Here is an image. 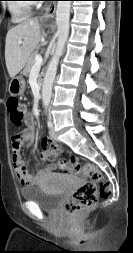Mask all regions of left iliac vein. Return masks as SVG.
I'll return each mask as SVG.
<instances>
[{
	"label": "left iliac vein",
	"mask_w": 133,
	"mask_h": 253,
	"mask_svg": "<svg viewBox=\"0 0 133 253\" xmlns=\"http://www.w3.org/2000/svg\"><path fill=\"white\" fill-rule=\"evenodd\" d=\"M49 134H50V136H51L53 139L57 140V133H56V131H55L53 125H52V127L50 128V130H49Z\"/></svg>",
	"instance_id": "4c4485c4"
}]
</instances>
